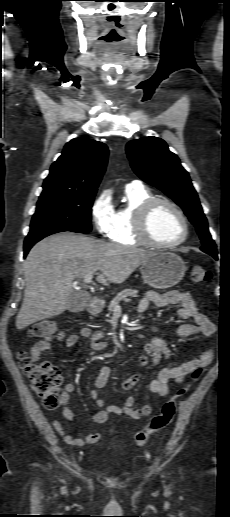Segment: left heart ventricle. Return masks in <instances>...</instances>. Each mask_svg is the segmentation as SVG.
Here are the masks:
<instances>
[{"label":"left heart ventricle","mask_w":230,"mask_h":517,"mask_svg":"<svg viewBox=\"0 0 230 517\" xmlns=\"http://www.w3.org/2000/svg\"><path fill=\"white\" fill-rule=\"evenodd\" d=\"M149 227L152 237L162 243L175 242L184 232L179 216L170 207L162 204L152 212Z\"/></svg>","instance_id":"left-heart-ventricle-1"}]
</instances>
